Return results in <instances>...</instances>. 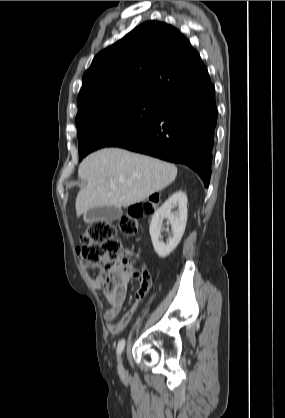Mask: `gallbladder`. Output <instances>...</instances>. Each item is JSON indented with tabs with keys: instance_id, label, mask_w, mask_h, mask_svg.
<instances>
[{
	"instance_id": "bac80fb5",
	"label": "gallbladder",
	"mask_w": 285,
	"mask_h": 418,
	"mask_svg": "<svg viewBox=\"0 0 285 418\" xmlns=\"http://www.w3.org/2000/svg\"><path fill=\"white\" fill-rule=\"evenodd\" d=\"M120 217V209L112 206L94 207L89 209L84 215V221L90 223L93 221H115Z\"/></svg>"
}]
</instances>
